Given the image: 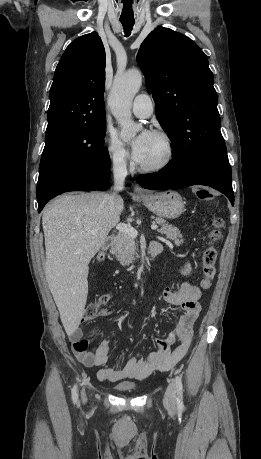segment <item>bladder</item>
<instances>
[{
    "instance_id": "1",
    "label": "bladder",
    "mask_w": 261,
    "mask_h": 459,
    "mask_svg": "<svg viewBox=\"0 0 261 459\" xmlns=\"http://www.w3.org/2000/svg\"><path fill=\"white\" fill-rule=\"evenodd\" d=\"M115 388L118 391L129 393L136 390V384L133 382H121L118 383Z\"/></svg>"
}]
</instances>
